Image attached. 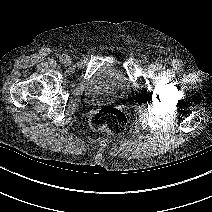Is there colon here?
<instances>
[{
	"label": "colon",
	"instance_id": "1",
	"mask_svg": "<svg viewBox=\"0 0 212 212\" xmlns=\"http://www.w3.org/2000/svg\"><path fill=\"white\" fill-rule=\"evenodd\" d=\"M90 125L95 131L121 133L127 125V117L121 110L105 106L90 117Z\"/></svg>",
	"mask_w": 212,
	"mask_h": 212
}]
</instances>
